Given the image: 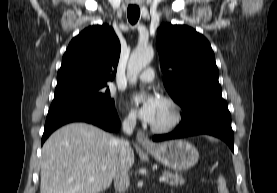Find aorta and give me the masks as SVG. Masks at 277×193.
<instances>
[{
    "instance_id": "1",
    "label": "aorta",
    "mask_w": 277,
    "mask_h": 193,
    "mask_svg": "<svg viewBox=\"0 0 277 193\" xmlns=\"http://www.w3.org/2000/svg\"><path fill=\"white\" fill-rule=\"evenodd\" d=\"M153 57L154 50L151 47H138L133 51L127 66V77L131 83L136 82L139 73L152 61Z\"/></svg>"
}]
</instances>
